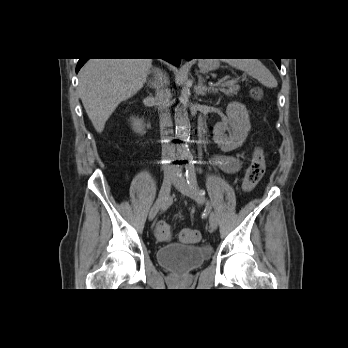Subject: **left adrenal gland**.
I'll list each match as a JSON object with an SVG mask.
<instances>
[{"label":"left adrenal gland","instance_id":"a2214340","mask_svg":"<svg viewBox=\"0 0 348 348\" xmlns=\"http://www.w3.org/2000/svg\"><path fill=\"white\" fill-rule=\"evenodd\" d=\"M213 92V87H207L205 85V79L200 76L198 79V86L196 88L197 95L205 96L207 93Z\"/></svg>","mask_w":348,"mask_h":348}]
</instances>
